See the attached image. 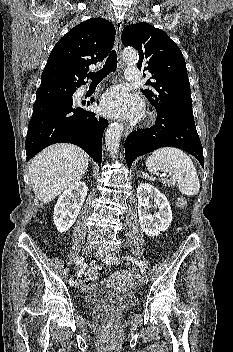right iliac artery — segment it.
Listing matches in <instances>:
<instances>
[{
  "instance_id": "1",
  "label": "right iliac artery",
  "mask_w": 233,
  "mask_h": 352,
  "mask_svg": "<svg viewBox=\"0 0 233 352\" xmlns=\"http://www.w3.org/2000/svg\"><path fill=\"white\" fill-rule=\"evenodd\" d=\"M83 261H84V259H83L82 256H77L76 259H75V262H76L77 265H82V264H83ZM74 283H75V282H74L73 279H70V280H69V284H70V285H73Z\"/></svg>"
}]
</instances>
